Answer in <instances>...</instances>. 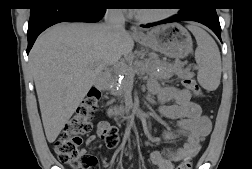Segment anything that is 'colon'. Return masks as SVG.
<instances>
[{
	"label": "colon",
	"instance_id": "obj_1",
	"mask_svg": "<svg viewBox=\"0 0 252 169\" xmlns=\"http://www.w3.org/2000/svg\"><path fill=\"white\" fill-rule=\"evenodd\" d=\"M183 85L195 95L201 94L196 81L190 77L182 79ZM100 92L90 89L75 113L63 128L60 137L54 144V152L58 160L68 164L72 169H92L96 165V158L81 150L83 136L91 130V121L97 109ZM117 130L110 127L106 134V143L109 147L118 144ZM192 162L187 159L181 162L177 169H191Z\"/></svg>",
	"mask_w": 252,
	"mask_h": 169
}]
</instances>
